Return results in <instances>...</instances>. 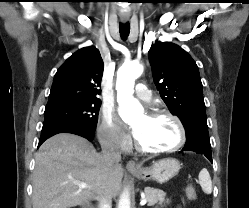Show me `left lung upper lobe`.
Masks as SVG:
<instances>
[{"label": "left lung upper lobe", "instance_id": "5c2ea615", "mask_svg": "<svg viewBox=\"0 0 249 208\" xmlns=\"http://www.w3.org/2000/svg\"><path fill=\"white\" fill-rule=\"evenodd\" d=\"M154 83L172 114L182 121L186 137L208 136L203 86L191 56L170 42H156L148 52Z\"/></svg>", "mask_w": 249, "mask_h": 208}]
</instances>
